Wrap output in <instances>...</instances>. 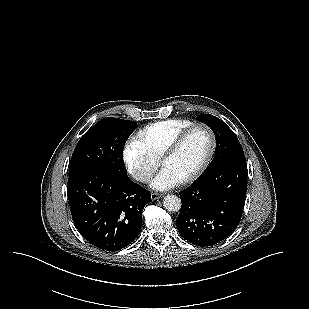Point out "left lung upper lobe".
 <instances>
[{
    "instance_id": "left-lung-upper-lobe-1",
    "label": "left lung upper lobe",
    "mask_w": 309,
    "mask_h": 309,
    "mask_svg": "<svg viewBox=\"0 0 309 309\" xmlns=\"http://www.w3.org/2000/svg\"><path fill=\"white\" fill-rule=\"evenodd\" d=\"M197 119L208 125L216 137V151L212 166L228 157L244 154L235 133L219 118L210 114H200Z\"/></svg>"
}]
</instances>
